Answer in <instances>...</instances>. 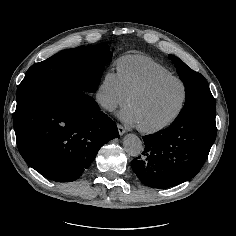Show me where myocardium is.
<instances>
[{
	"label": "myocardium",
	"instance_id": "f54148a6",
	"mask_svg": "<svg viewBox=\"0 0 236 236\" xmlns=\"http://www.w3.org/2000/svg\"><path fill=\"white\" fill-rule=\"evenodd\" d=\"M167 81H177L182 85V87H183V96H182L180 106L178 107L176 112L170 118H168L164 122L159 123L155 126L144 127V126H141V125L137 124L138 130L145 133V134L158 133V132L168 128L169 126H171L173 123H175L177 121V119L181 116L182 112L184 111V108H185L186 103H187V99H188L187 84L185 83V81L182 78H180L178 76H175V75L161 76V77H158V78H155V79L151 80L150 82H148L147 84H145L141 88L135 90L133 93H131L129 95L128 106H130L131 102L134 99H136L138 97H141L143 95H146L151 90H153L155 87H157L158 85H160L164 82H167Z\"/></svg>",
	"mask_w": 236,
	"mask_h": 236
}]
</instances>
